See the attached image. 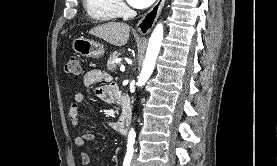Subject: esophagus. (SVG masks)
Segmentation results:
<instances>
[{
	"label": "esophagus",
	"instance_id": "esophagus-1",
	"mask_svg": "<svg viewBox=\"0 0 277 166\" xmlns=\"http://www.w3.org/2000/svg\"><path fill=\"white\" fill-rule=\"evenodd\" d=\"M165 0H157L154 6L139 20L136 29L141 34H147L152 29L158 16L161 13Z\"/></svg>",
	"mask_w": 277,
	"mask_h": 166
}]
</instances>
